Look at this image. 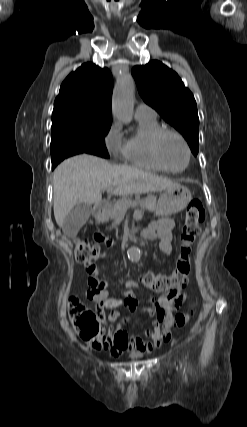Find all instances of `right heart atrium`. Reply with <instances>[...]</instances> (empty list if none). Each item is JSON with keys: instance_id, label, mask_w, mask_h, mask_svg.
I'll return each instance as SVG.
<instances>
[{"instance_id": "obj_1", "label": "right heart atrium", "mask_w": 247, "mask_h": 427, "mask_svg": "<svg viewBox=\"0 0 247 427\" xmlns=\"http://www.w3.org/2000/svg\"><path fill=\"white\" fill-rule=\"evenodd\" d=\"M104 144L107 150L113 155H122L123 153V137L121 126L118 122H113L104 136Z\"/></svg>"}]
</instances>
